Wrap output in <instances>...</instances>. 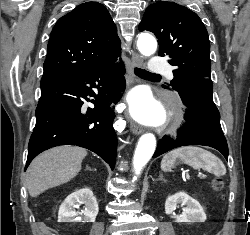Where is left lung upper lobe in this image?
I'll list each match as a JSON object with an SVG mask.
<instances>
[{
	"label": "left lung upper lobe",
	"instance_id": "obj_1",
	"mask_svg": "<svg viewBox=\"0 0 250 235\" xmlns=\"http://www.w3.org/2000/svg\"><path fill=\"white\" fill-rule=\"evenodd\" d=\"M139 30L153 32L158 55H167L175 66L171 81L175 90L191 79L211 80L208 33L196 13L174 2H157L146 8Z\"/></svg>",
	"mask_w": 250,
	"mask_h": 235
}]
</instances>
